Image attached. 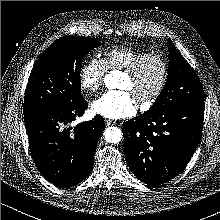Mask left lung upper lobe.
Returning <instances> with one entry per match:
<instances>
[{
  "instance_id": "5c2ea615",
  "label": "left lung upper lobe",
  "mask_w": 220,
  "mask_h": 220,
  "mask_svg": "<svg viewBox=\"0 0 220 220\" xmlns=\"http://www.w3.org/2000/svg\"><path fill=\"white\" fill-rule=\"evenodd\" d=\"M168 50L169 67L167 81L156 101L148 110L149 112L204 102L202 85L194 69L170 40H168Z\"/></svg>"
}]
</instances>
